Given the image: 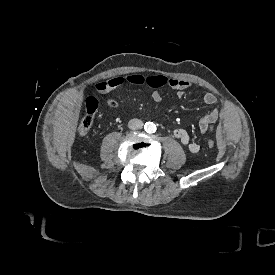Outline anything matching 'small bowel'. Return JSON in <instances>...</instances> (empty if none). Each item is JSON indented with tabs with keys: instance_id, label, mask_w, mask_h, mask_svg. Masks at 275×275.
<instances>
[{
	"instance_id": "small-bowel-1",
	"label": "small bowel",
	"mask_w": 275,
	"mask_h": 275,
	"mask_svg": "<svg viewBox=\"0 0 275 275\" xmlns=\"http://www.w3.org/2000/svg\"><path fill=\"white\" fill-rule=\"evenodd\" d=\"M125 84L130 85H143L147 84L152 88H160L163 86H169L176 90L177 95L181 97L185 91L190 87V83L186 80L168 78L162 74H154L149 77H143L141 74H129L125 76H119L107 81H104L98 85V89L102 92H110L115 88L123 86ZM152 100L155 103H159L162 99L161 94L158 91H154L151 95ZM203 102L208 106H214L217 102L216 96L212 92L204 93ZM219 117V110L217 108L212 109L198 123L199 131L202 134L209 133ZM174 137L178 139L188 150L192 153H197L200 149L199 145L192 141L189 133L182 128L174 130Z\"/></svg>"
}]
</instances>
